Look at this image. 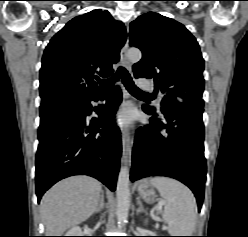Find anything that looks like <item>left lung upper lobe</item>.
Listing matches in <instances>:
<instances>
[{"instance_id": "obj_1", "label": "left lung upper lobe", "mask_w": 248, "mask_h": 237, "mask_svg": "<svg viewBox=\"0 0 248 237\" xmlns=\"http://www.w3.org/2000/svg\"><path fill=\"white\" fill-rule=\"evenodd\" d=\"M130 46L142 51L136 78H153L165 96L162 113L179 105L203 106L204 60L195 37L181 23L149 12L130 24Z\"/></svg>"}]
</instances>
